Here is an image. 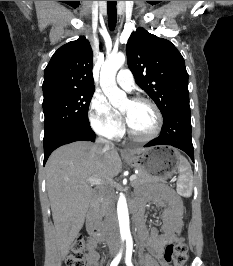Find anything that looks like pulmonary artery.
<instances>
[{
  "mask_svg": "<svg viewBox=\"0 0 233 266\" xmlns=\"http://www.w3.org/2000/svg\"><path fill=\"white\" fill-rule=\"evenodd\" d=\"M117 84L123 89L130 91L134 86V77L130 70L121 69L116 77Z\"/></svg>",
  "mask_w": 233,
  "mask_h": 266,
  "instance_id": "e3ab8cb5",
  "label": "pulmonary artery"
}]
</instances>
